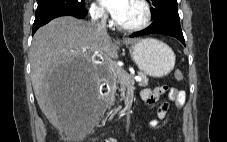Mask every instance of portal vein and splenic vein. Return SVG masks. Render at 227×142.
<instances>
[{"label": "portal vein and splenic vein", "instance_id": "obj_1", "mask_svg": "<svg viewBox=\"0 0 227 142\" xmlns=\"http://www.w3.org/2000/svg\"><path fill=\"white\" fill-rule=\"evenodd\" d=\"M116 73H117L118 76H122L123 75L120 69H117ZM137 80L140 82L141 78H138ZM128 83H129L130 87H133L134 82L128 81Z\"/></svg>", "mask_w": 227, "mask_h": 142}]
</instances>
